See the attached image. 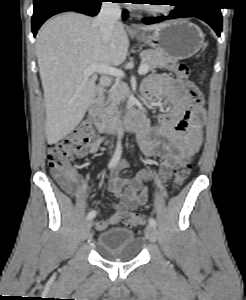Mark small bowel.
<instances>
[{"label":"small bowel","mask_w":246,"mask_h":300,"mask_svg":"<svg viewBox=\"0 0 246 300\" xmlns=\"http://www.w3.org/2000/svg\"><path fill=\"white\" fill-rule=\"evenodd\" d=\"M142 94L146 99H161L165 96L170 107L167 113L158 115L156 119L146 118L136 131L142 152L160 158L158 174L152 169H143L135 178H120L119 172L127 166V162L121 160L116 164L108 189L119 199V203L111 204V216L95 223L99 231L117 225L127 210L146 203V183L154 180L166 182L174 168L180 163L189 162L202 144L205 113L201 108L200 115L196 114L186 83L174 80L167 74H155L145 82ZM102 142L103 138L93 139L77 156L82 158L96 153ZM55 178L67 193L77 200L82 198V187L77 175L73 178L55 175Z\"/></svg>","instance_id":"small-bowel-1"}]
</instances>
